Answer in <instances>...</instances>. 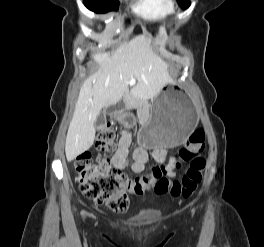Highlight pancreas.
<instances>
[{
    "mask_svg": "<svg viewBox=\"0 0 264 247\" xmlns=\"http://www.w3.org/2000/svg\"><path fill=\"white\" fill-rule=\"evenodd\" d=\"M136 104H137V100L133 98L127 103V106L132 107L135 106Z\"/></svg>",
    "mask_w": 264,
    "mask_h": 247,
    "instance_id": "1",
    "label": "pancreas"
}]
</instances>
